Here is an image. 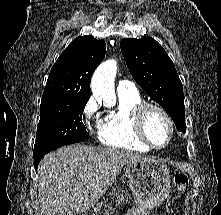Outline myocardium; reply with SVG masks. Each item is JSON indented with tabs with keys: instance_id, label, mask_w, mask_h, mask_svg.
I'll return each mask as SVG.
<instances>
[{
	"instance_id": "f54148a6",
	"label": "myocardium",
	"mask_w": 221,
	"mask_h": 215,
	"mask_svg": "<svg viewBox=\"0 0 221 215\" xmlns=\"http://www.w3.org/2000/svg\"><path fill=\"white\" fill-rule=\"evenodd\" d=\"M152 109L160 112L164 116V118L166 119L169 125V130H170L169 138L167 142L162 146H157L153 144V142L149 139L145 131V119L149 110ZM133 125L137 137L151 149L155 150L164 149L170 145V143L174 138L175 124L172 117L164 107L156 103L142 102L138 104L133 110Z\"/></svg>"
}]
</instances>
